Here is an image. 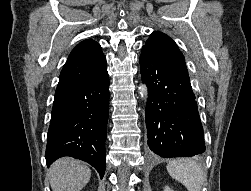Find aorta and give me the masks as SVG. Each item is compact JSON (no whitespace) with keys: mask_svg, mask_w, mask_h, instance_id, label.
<instances>
[{"mask_svg":"<svg viewBox=\"0 0 251 191\" xmlns=\"http://www.w3.org/2000/svg\"><path fill=\"white\" fill-rule=\"evenodd\" d=\"M138 90H140L139 94L141 97L145 96V92H146V88L145 86H140V88H138Z\"/></svg>","mask_w":251,"mask_h":191,"instance_id":"1","label":"aorta"}]
</instances>
